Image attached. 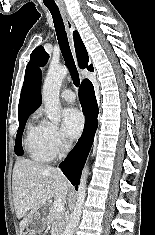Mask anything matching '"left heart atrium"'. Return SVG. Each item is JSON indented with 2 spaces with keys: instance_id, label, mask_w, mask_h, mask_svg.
Returning a JSON list of instances; mask_svg holds the SVG:
<instances>
[{
  "instance_id": "obj_1",
  "label": "left heart atrium",
  "mask_w": 155,
  "mask_h": 235,
  "mask_svg": "<svg viewBox=\"0 0 155 235\" xmlns=\"http://www.w3.org/2000/svg\"><path fill=\"white\" fill-rule=\"evenodd\" d=\"M62 121L63 132L70 139L76 138L81 133L84 126V117L76 108L64 110Z\"/></svg>"
}]
</instances>
